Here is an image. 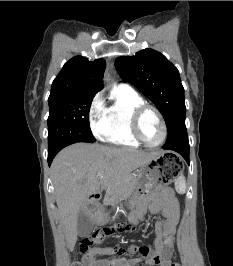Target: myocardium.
<instances>
[{
	"label": "myocardium",
	"instance_id": "1",
	"mask_svg": "<svg viewBox=\"0 0 233 266\" xmlns=\"http://www.w3.org/2000/svg\"><path fill=\"white\" fill-rule=\"evenodd\" d=\"M148 110L153 111L157 115V117L161 123V126H162V131H163L162 138L156 144H150V143L146 142L144 140V138L142 137V134L140 131L141 118H142L143 114ZM130 127H131V133H132L133 137L135 138V140L138 143H140V144H142L148 148L160 147L166 141L168 130H167V125H166L165 119H164L162 113L160 112V110L151 104L143 103V104L138 105L137 107H135L133 109L132 114H131Z\"/></svg>",
	"mask_w": 233,
	"mask_h": 266
}]
</instances>
